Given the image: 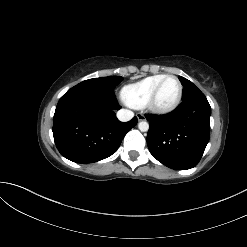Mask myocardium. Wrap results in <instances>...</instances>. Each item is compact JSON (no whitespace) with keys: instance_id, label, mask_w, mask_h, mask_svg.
<instances>
[{"instance_id":"1","label":"myocardium","mask_w":247,"mask_h":247,"mask_svg":"<svg viewBox=\"0 0 247 247\" xmlns=\"http://www.w3.org/2000/svg\"><path fill=\"white\" fill-rule=\"evenodd\" d=\"M170 78L175 79L178 83V86H179L178 96H177L176 100L171 105L166 106V107H160L157 104V97H158L159 91H160L162 85L164 84V82ZM182 96H183V85H182L180 79L175 75H166L162 80H160V82L154 88V90H153L152 94L150 95L149 100L146 104V107L148 108V110H150L151 112H153L155 114H160V115L169 114V113L173 112L180 105L181 100H182Z\"/></svg>"}]
</instances>
